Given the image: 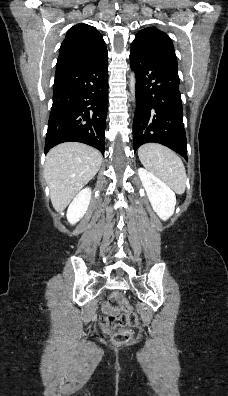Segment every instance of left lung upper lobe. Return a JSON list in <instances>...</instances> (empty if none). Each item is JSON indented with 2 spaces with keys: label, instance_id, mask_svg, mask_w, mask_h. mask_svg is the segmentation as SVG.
Wrapping results in <instances>:
<instances>
[{
  "label": "left lung upper lobe",
  "instance_id": "1",
  "mask_svg": "<svg viewBox=\"0 0 228 396\" xmlns=\"http://www.w3.org/2000/svg\"><path fill=\"white\" fill-rule=\"evenodd\" d=\"M132 44L165 53L177 61L171 39L166 33L155 27H149L139 31Z\"/></svg>",
  "mask_w": 228,
  "mask_h": 396
}]
</instances>
